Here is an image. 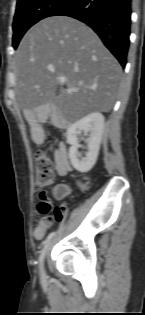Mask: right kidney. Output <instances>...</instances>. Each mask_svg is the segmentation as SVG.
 Masks as SVG:
<instances>
[{
  "instance_id": "ca27d5eb",
  "label": "right kidney",
  "mask_w": 145,
  "mask_h": 315,
  "mask_svg": "<svg viewBox=\"0 0 145 315\" xmlns=\"http://www.w3.org/2000/svg\"><path fill=\"white\" fill-rule=\"evenodd\" d=\"M104 125V116L99 112H93L81 118L67 129L66 138L68 144L71 145L69 148V158L72 166L77 171L86 173L95 165L99 154ZM82 131L86 136L89 133V137L86 140L88 151L85 157H81V154L78 152V135Z\"/></svg>"
}]
</instances>
